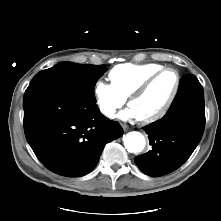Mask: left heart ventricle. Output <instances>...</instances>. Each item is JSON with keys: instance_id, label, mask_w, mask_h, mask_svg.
Instances as JSON below:
<instances>
[{"instance_id": "left-heart-ventricle-1", "label": "left heart ventricle", "mask_w": 221, "mask_h": 221, "mask_svg": "<svg viewBox=\"0 0 221 221\" xmlns=\"http://www.w3.org/2000/svg\"><path fill=\"white\" fill-rule=\"evenodd\" d=\"M175 84V74L167 71L161 74L142 96L132 100L129 106L135 111L138 119L149 117L164 107Z\"/></svg>"}]
</instances>
